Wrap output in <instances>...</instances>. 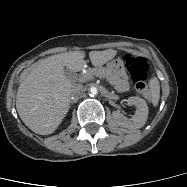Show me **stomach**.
Here are the masks:
<instances>
[{
    "mask_svg": "<svg viewBox=\"0 0 187 187\" xmlns=\"http://www.w3.org/2000/svg\"><path fill=\"white\" fill-rule=\"evenodd\" d=\"M107 70L116 79L123 81L127 80V73L125 70L124 62L121 59H114L107 64Z\"/></svg>",
    "mask_w": 187,
    "mask_h": 187,
    "instance_id": "0dacf381",
    "label": "stomach"
}]
</instances>
